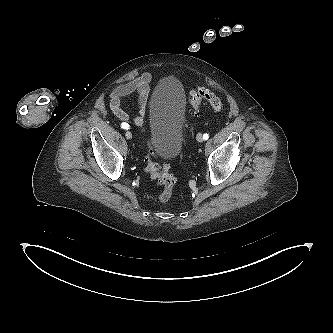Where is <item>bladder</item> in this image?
<instances>
[{"instance_id":"31cf9c89","label":"bladder","mask_w":333,"mask_h":333,"mask_svg":"<svg viewBox=\"0 0 333 333\" xmlns=\"http://www.w3.org/2000/svg\"><path fill=\"white\" fill-rule=\"evenodd\" d=\"M186 94L175 76L162 78L153 90L148 128L160 156L173 159L182 149V126L185 121Z\"/></svg>"}]
</instances>
